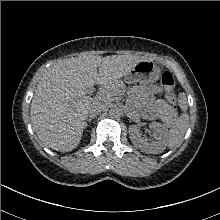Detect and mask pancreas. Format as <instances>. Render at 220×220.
<instances>
[{
    "label": "pancreas",
    "instance_id": "obj_1",
    "mask_svg": "<svg viewBox=\"0 0 220 220\" xmlns=\"http://www.w3.org/2000/svg\"><path fill=\"white\" fill-rule=\"evenodd\" d=\"M113 96V92L109 91L102 95L103 102L109 101V99ZM156 109L160 114L161 118L169 123L172 116H175L174 109L171 105H169L165 100H158L156 102Z\"/></svg>",
    "mask_w": 220,
    "mask_h": 220
}]
</instances>
